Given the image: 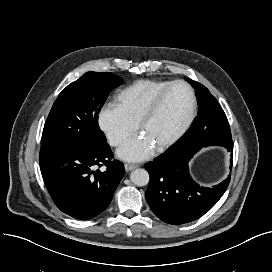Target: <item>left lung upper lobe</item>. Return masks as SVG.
Listing matches in <instances>:
<instances>
[{"label": "left lung upper lobe", "instance_id": "1", "mask_svg": "<svg viewBox=\"0 0 272 272\" xmlns=\"http://www.w3.org/2000/svg\"><path fill=\"white\" fill-rule=\"evenodd\" d=\"M187 81L197 90L199 103L198 118L188 133L198 134L202 142L209 144L231 140L229 123L218 101L205 86L189 78Z\"/></svg>", "mask_w": 272, "mask_h": 272}]
</instances>
